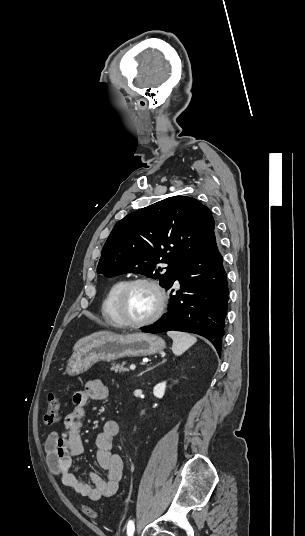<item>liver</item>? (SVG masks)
<instances>
[{
    "mask_svg": "<svg viewBox=\"0 0 305 536\" xmlns=\"http://www.w3.org/2000/svg\"><path fill=\"white\" fill-rule=\"evenodd\" d=\"M103 334H109V332H96V334H91V336H86V338H81V340H78V342H76L73 350H78V348H81V346H84V344H87L89 340H94V338H98V336H103Z\"/></svg>",
    "mask_w": 305,
    "mask_h": 536,
    "instance_id": "6515ba94",
    "label": "liver"
}]
</instances>
